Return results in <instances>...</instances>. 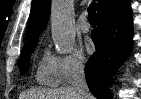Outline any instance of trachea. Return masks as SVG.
<instances>
[{
    "mask_svg": "<svg viewBox=\"0 0 141 99\" xmlns=\"http://www.w3.org/2000/svg\"><path fill=\"white\" fill-rule=\"evenodd\" d=\"M96 10H97V3L92 2L90 6L88 7V19L89 21H96Z\"/></svg>",
    "mask_w": 141,
    "mask_h": 99,
    "instance_id": "1",
    "label": "trachea"
}]
</instances>
